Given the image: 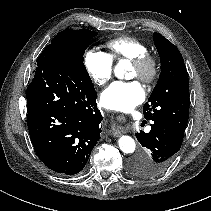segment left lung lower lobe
I'll return each mask as SVG.
<instances>
[{
  "mask_svg": "<svg viewBox=\"0 0 211 211\" xmlns=\"http://www.w3.org/2000/svg\"><path fill=\"white\" fill-rule=\"evenodd\" d=\"M140 144L149 150V157L137 155L130 161L131 171L142 178H151L163 173L179 151L184 132L163 120H154L151 131L135 133Z\"/></svg>",
  "mask_w": 211,
  "mask_h": 211,
  "instance_id": "0a47b994",
  "label": "left lung lower lobe"
}]
</instances>
